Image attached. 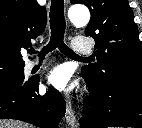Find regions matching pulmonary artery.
<instances>
[{
  "instance_id": "1",
  "label": "pulmonary artery",
  "mask_w": 142,
  "mask_h": 128,
  "mask_svg": "<svg viewBox=\"0 0 142 128\" xmlns=\"http://www.w3.org/2000/svg\"><path fill=\"white\" fill-rule=\"evenodd\" d=\"M72 50L76 54L88 55L92 52V47L87 39L83 37H76L72 42ZM36 63L37 60L27 61L25 65L26 70H31Z\"/></svg>"
}]
</instances>
